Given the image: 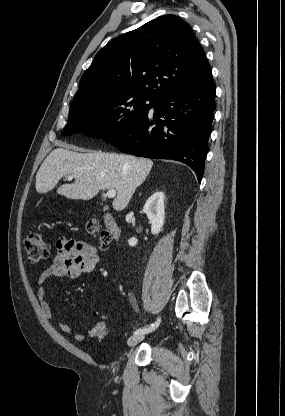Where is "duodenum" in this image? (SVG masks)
<instances>
[{
    "label": "duodenum",
    "mask_w": 285,
    "mask_h": 416,
    "mask_svg": "<svg viewBox=\"0 0 285 416\" xmlns=\"http://www.w3.org/2000/svg\"><path fill=\"white\" fill-rule=\"evenodd\" d=\"M105 225L107 230L112 234V236L115 239H118L120 236V230L115 219L111 216H107L105 219Z\"/></svg>",
    "instance_id": "1"
}]
</instances>
